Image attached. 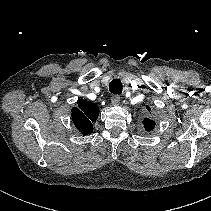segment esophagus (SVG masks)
I'll list each match as a JSON object with an SVG mask.
<instances>
[{"label": "esophagus", "mask_w": 211, "mask_h": 211, "mask_svg": "<svg viewBox=\"0 0 211 211\" xmlns=\"http://www.w3.org/2000/svg\"><path fill=\"white\" fill-rule=\"evenodd\" d=\"M120 96L118 95H114L112 98H111V102L113 105H119L120 103Z\"/></svg>", "instance_id": "obj_1"}]
</instances>
